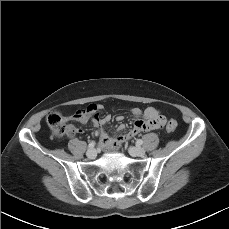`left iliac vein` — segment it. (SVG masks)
<instances>
[{
    "label": "left iliac vein",
    "mask_w": 229,
    "mask_h": 229,
    "mask_svg": "<svg viewBox=\"0 0 229 229\" xmlns=\"http://www.w3.org/2000/svg\"><path fill=\"white\" fill-rule=\"evenodd\" d=\"M129 153L132 156L142 157L145 155L146 151L144 148L131 146V147H129Z\"/></svg>",
    "instance_id": "left-iliac-vein-1"
}]
</instances>
